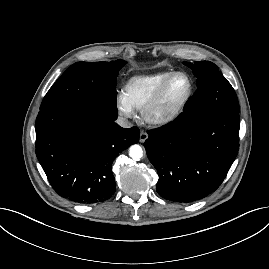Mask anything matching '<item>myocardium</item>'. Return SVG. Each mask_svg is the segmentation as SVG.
Wrapping results in <instances>:
<instances>
[{"instance_id": "myocardium-1", "label": "myocardium", "mask_w": 269, "mask_h": 269, "mask_svg": "<svg viewBox=\"0 0 269 269\" xmlns=\"http://www.w3.org/2000/svg\"><path fill=\"white\" fill-rule=\"evenodd\" d=\"M177 76H184L188 81V90L184 98L174 107L166 110L159 111V105L162 101L163 95L170 84V82ZM193 94V81L191 77L181 71L173 72L170 74L158 87L151 99L141 110V116L145 122L155 126H163L174 121L184 110Z\"/></svg>"}]
</instances>
